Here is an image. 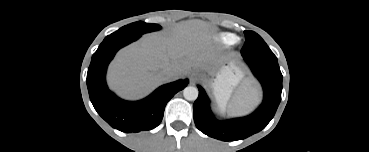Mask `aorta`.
Masks as SVG:
<instances>
[{
	"label": "aorta",
	"mask_w": 369,
	"mask_h": 152,
	"mask_svg": "<svg viewBox=\"0 0 369 152\" xmlns=\"http://www.w3.org/2000/svg\"><path fill=\"white\" fill-rule=\"evenodd\" d=\"M199 91L194 86H188L183 90V96L188 101H195L198 98Z\"/></svg>",
	"instance_id": "762f6f07"
}]
</instances>
